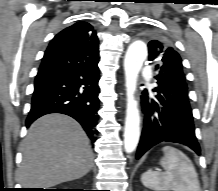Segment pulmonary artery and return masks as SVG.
Here are the masks:
<instances>
[{
	"mask_svg": "<svg viewBox=\"0 0 218 191\" xmlns=\"http://www.w3.org/2000/svg\"><path fill=\"white\" fill-rule=\"evenodd\" d=\"M142 76L144 77H150L152 75V70L150 67H145L143 70H142Z\"/></svg>",
	"mask_w": 218,
	"mask_h": 191,
	"instance_id": "pulmonary-artery-1",
	"label": "pulmonary artery"
}]
</instances>
